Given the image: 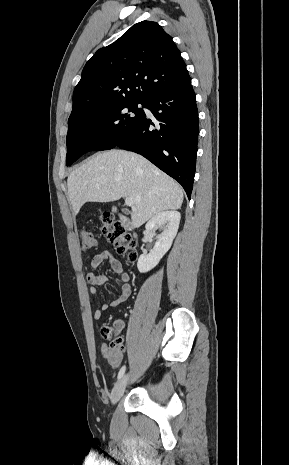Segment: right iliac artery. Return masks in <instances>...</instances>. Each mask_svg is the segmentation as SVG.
<instances>
[{
  "instance_id": "right-iliac-artery-1",
  "label": "right iliac artery",
  "mask_w": 289,
  "mask_h": 465,
  "mask_svg": "<svg viewBox=\"0 0 289 465\" xmlns=\"http://www.w3.org/2000/svg\"><path fill=\"white\" fill-rule=\"evenodd\" d=\"M125 370H126V366L124 365V366L120 369V371H119V373H118V376H117V379H118V380L121 379V378L123 377V375H124V373H125Z\"/></svg>"
}]
</instances>
